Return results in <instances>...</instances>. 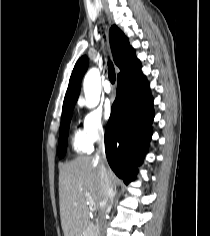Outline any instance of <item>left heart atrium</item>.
Here are the masks:
<instances>
[{
  "label": "left heart atrium",
  "instance_id": "left-heart-atrium-1",
  "mask_svg": "<svg viewBox=\"0 0 210 236\" xmlns=\"http://www.w3.org/2000/svg\"><path fill=\"white\" fill-rule=\"evenodd\" d=\"M112 115V105L109 101H107L104 105V117L109 119Z\"/></svg>",
  "mask_w": 210,
  "mask_h": 236
}]
</instances>
